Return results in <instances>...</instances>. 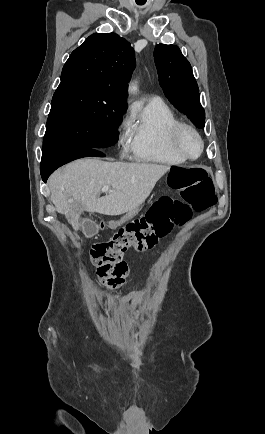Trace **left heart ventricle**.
Segmentation results:
<instances>
[{
  "instance_id": "obj_1",
  "label": "left heart ventricle",
  "mask_w": 265,
  "mask_h": 434,
  "mask_svg": "<svg viewBox=\"0 0 265 434\" xmlns=\"http://www.w3.org/2000/svg\"><path fill=\"white\" fill-rule=\"evenodd\" d=\"M181 145L184 153L189 157H195L200 152L199 142L192 134H186L183 136Z\"/></svg>"
}]
</instances>
